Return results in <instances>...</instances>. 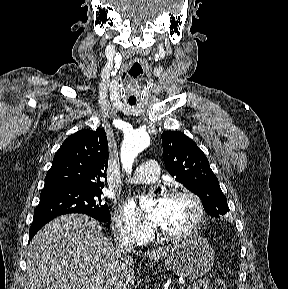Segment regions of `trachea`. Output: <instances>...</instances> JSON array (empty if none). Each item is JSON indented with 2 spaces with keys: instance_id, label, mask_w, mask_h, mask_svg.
I'll return each instance as SVG.
<instances>
[{
  "instance_id": "3493384b",
  "label": "trachea",
  "mask_w": 288,
  "mask_h": 289,
  "mask_svg": "<svg viewBox=\"0 0 288 289\" xmlns=\"http://www.w3.org/2000/svg\"><path fill=\"white\" fill-rule=\"evenodd\" d=\"M144 75L142 64L134 61L128 71L127 98L130 104H135L139 98L140 81Z\"/></svg>"
}]
</instances>
